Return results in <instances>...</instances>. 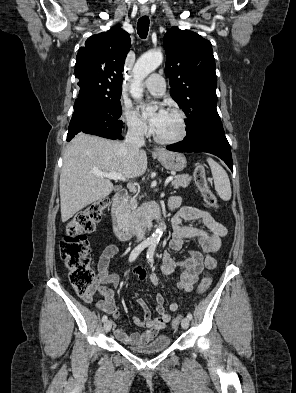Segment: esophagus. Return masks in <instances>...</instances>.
I'll return each instance as SVG.
<instances>
[{"label":"esophagus","mask_w":296,"mask_h":393,"mask_svg":"<svg viewBox=\"0 0 296 393\" xmlns=\"http://www.w3.org/2000/svg\"><path fill=\"white\" fill-rule=\"evenodd\" d=\"M148 13H149L148 10H144V9L141 10V14L142 15H148ZM154 150H155V152H160L161 151V149L158 148V147H156Z\"/></svg>","instance_id":"obj_1"}]
</instances>
